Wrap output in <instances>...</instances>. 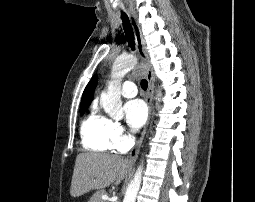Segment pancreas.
<instances>
[{
  "instance_id": "1",
  "label": "pancreas",
  "mask_w": 255,
  "mask_h": 202,
  "mask_svg": "<svg viewBox=\"0 0 255 202\" xmlns=\"http://www.w3.org/2000/svg\"><path fill=\"white\" fill-rule=\"evenodd\" d=\"M107 192L105 190H99V191H96L92 197L90 198V201L89 202H104L102 199H101V196L106 194Z\"/></svg>"
}]
</instances>
